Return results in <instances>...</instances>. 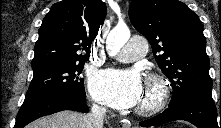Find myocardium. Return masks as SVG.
I'll use <instances>...</instances> for the list:
<instances>
[{
	"label": "myocardium",
	"instance_id": "f54148a6",
	"mask_svg": "<svg viewBox=\"0 0 221 128\" xmlns=\"http://www.w3.org/2000/svg\"><path fill=\"white\" fill-rule=\"evenodd\" d=\"M146 86L151 90L152 96L143 105L136 108V112L143 116H150L160 112L169 97V88L165 79L158 74L147 77Z\"/></svg>",
	"mask_w": 221,
	"mask_h": 128
}]
</instances>
